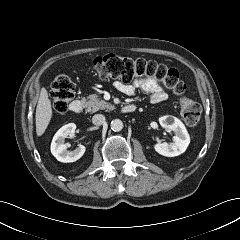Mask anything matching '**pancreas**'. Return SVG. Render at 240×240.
<instances>
[{
	"label": "pancreas",
	"mask_w": 240,
	"mask_h": 240,
	"mask_svg": "<svg viewBox=\"0 0 240 240\" xmlns=\"http://www.w3.org/2000/svg\"><path fill=\"white\" fill-rule=\"evenodd\" d=\"M85 101V106L87 107L86 111L94 113L99 109L102 110H113L114 106L110 103L99 98L97 94H91L87 97V99H83Z\"/></svg>",
	"instance_id": "cf45deb5"
}]
</instances>
